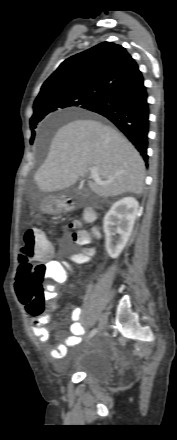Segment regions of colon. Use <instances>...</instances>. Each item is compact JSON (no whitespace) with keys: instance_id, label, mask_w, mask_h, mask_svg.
<instances>
[{"instance_id":"obj_1","label":"colon","mask_w":177,"mask_h":440,"mask_svg":"<svg viewBox=\"0 0 177 440\" xmlns=\"http://www.w3.org/2000/svg\"><path fill=\"white\" fill-rule=\"evenodd\" d=\"M87 216L86 219H90ZM73 224L72 226H75ZM95 233L80 230L71 235L73 243L83 246L87 244ZM52 254L50 242L39 229L26 231L19 250L20 268L16 281V293L19 300L26 304L28 312L37 316L44 309V300L48 294L45 289V280L49 279V269L45 259ZM92 255L89 250H82L74 256L76 262H83ZM66 272L67 269L65 268Z\"/></svg>"}]
</instances>
